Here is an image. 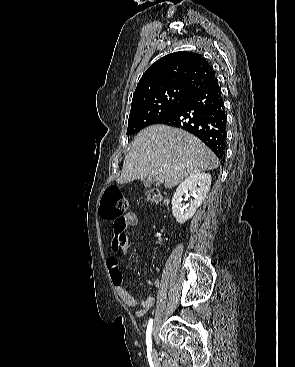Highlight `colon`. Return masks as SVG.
<instances>
[{
    "instance_id": "1",
    "label": "colon",
    "mask_w": 295,
    "mask_h": 367,
    "mask_svg": "<svg viewBox=\"0 0 295 367\" xmlns=\"http://www.w3.org/2000/svg\"><path fill=\"white\" fill-rule=\"evenodd\" d=\"M147 198L152 202H161L164 200L163 195L157 189H151L147 193ZM127 208V200L121 190L115 186H108L102 198V217L113 222L119 221Z\"/></svg>"
}]
</instances>
